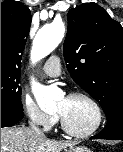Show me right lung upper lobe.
<instances>
[{
    "label": "right lung upper lobe",
    "mask_w": 123,
    "mask_h": 152,
    "mask_svg": "<svg viewBox=\"0 0 123 152\" xmlns=\"http://www.w3.org/2000/svg\"><path fill=\"white\" fill-rule=\"evenodd\" d=\"M28 7L19 1L1 3V68L21 69L23 53L31 25Z\"/></svg>",
    "instance_id": "cb5924a9"
}]
</instances>
